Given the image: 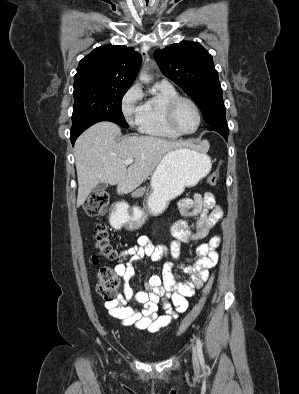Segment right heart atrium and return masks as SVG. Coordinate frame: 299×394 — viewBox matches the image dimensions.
<instances>
[{
	"label": "right heart atrium",
	"instance_id": "1",
	"mask_svg": "<svg viewBox=\"0 0 299 394\" xmlns=\"http://www.w3.org/2000/svg\"><path fill=\"white\" fill-rule=\"evenodd\" d=\"M142 90L139 84H134L124 95L122 100L123 115L132 127L139 126L143 110Z\"/></svg>",
	"mask_w": 299,
	"mask_h": 394
}]
</instances>
